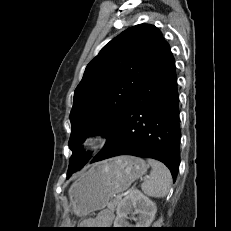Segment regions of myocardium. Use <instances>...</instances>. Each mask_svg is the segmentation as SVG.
Instances as JSON below:
<instances>
[{"label":"myocardium","instance_id":"myocardium-1","mask_svg":"<svg viewBox=\"0 0 231 231\" xmlns=\"http://www.w3.org/2000/svg\"><path fill=\"white\" fill-rule=\"evenodd\" d=\"M107 142V138L103 134H92L82 141V148L85 151H95L103 147Z\"/></svg>","mask_w":231,"mask_h":231}]
</instances>
